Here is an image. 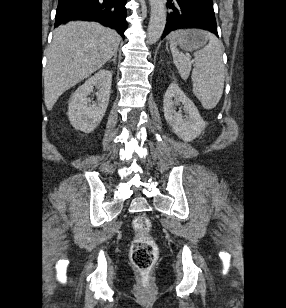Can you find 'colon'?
<instances>
[{
	"instance_id": "obj_1",
	"label": "colon",
	"mask_w": 286,
	"mask_h": 308,
	"mask_svg": "<svg viewBox=\"0 0 286 308\" xmlns=\"http://www.w3.org/2000/svg\"><path fill=\"white\" fill-rule=\"evenodd\" d=\"M133 228L136 232V237L130 249L131 261L141 273L142 283L147 284L149 272L157 261L159 249L150 236L152 224L147 216H137L133 221Z\"/></svg>"
}]
</instances>
